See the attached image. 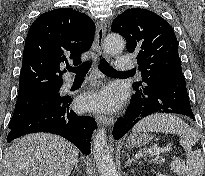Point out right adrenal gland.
I'll return each instance as SVG.
<instances>
[{"label": "right adrenal gland", "mask_w": 205, "mask_h": 176, "mask_svg": "<svg viewBox=\"0 0 205 176\" xmlns=\"http://www.w3.org/2000/svg\"><path fill=\"white\" fill-rule=\"evenodd\" d=\"M75 171L81 173V170H80V168H79V166H78V161L75 163V169H74L73 172H72V176H74Z\"/></svg>", "instance_id": "2a0ac1e0"}]
</instances>
